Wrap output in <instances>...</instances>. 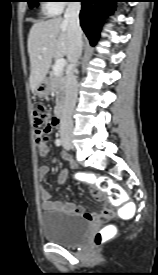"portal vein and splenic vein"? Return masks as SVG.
<instances>
[{"label":"portal vein and splenic vein","mask_w":158,"mask_h":275,"mask_svg":"<svg viewBox=\"0 0 158 275\" xmlns=\"http://www.w3.org/2000/svg\"><path fill=\"white\" fill-rule=\"evenodd\" d=\"M65 64H66V61L63 58H60V59L56 60L55 66H54V73H55V75H59V74L62 73Z\"/></svg>","instance_id":"1"}]
</instances>
